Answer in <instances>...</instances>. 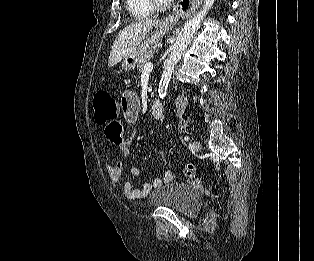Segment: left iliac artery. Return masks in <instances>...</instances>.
<instances>
[{
  "mask_svg": "<svg viewBox=\"0 0 314 261\" xmlns=\"http://www.w3.org/2000/svg\"><path fill=\"white\" fill-rule=\"evenodd\" d=\"M184 140H185V141H189V137H188V136H185V137H184Z\"/></svg>",
  "mask_w": 314,
  "mask_h": 261,
  "instance_id": "obj_1",
  "label": "left iliac artery"
}]
</instances>
